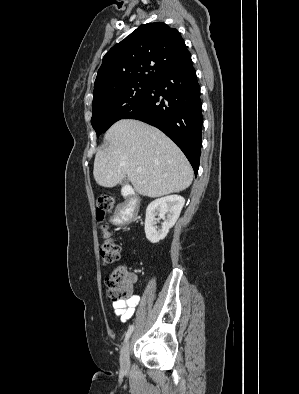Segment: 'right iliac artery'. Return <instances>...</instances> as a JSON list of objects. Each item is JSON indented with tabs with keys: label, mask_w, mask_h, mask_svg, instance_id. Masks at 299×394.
<instances>
[{
	"label": "right iliac artery",
	"mask_w": 299,
	"mask_h": 394,
	"mask_svg": "<svg viewBox=\"0 0 299 394\" xmlns=\"http://www.w3.org/2000/svg\"><path fill=\"white\" fill-rule=\"evenodd\" d=\"M133 330H134V325H130L129 328H128V331L126 332L124 342H126L129 339V337L131 336Z\"/></svg>",
	"instance_id": "obj_1"
}]
</instances>
